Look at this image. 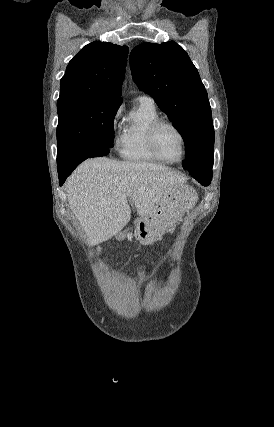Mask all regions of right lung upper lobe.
Returning a JSON list of instances; mask_svg holds the SVG:
<instances>
[{
  "label": "right lung upper lobe",
  "instance_id": "right-lung-upper-lobe-1",
  "mask_svg": "<svg viewBox=\"0 0 274 427\" xmlns=\"http://www.w3.org/2000/svg\"><path fill=\"white\" fill-rule=\"evenodd\" d=\"M128 47L95 41L68 64L57 107L84 100H122Z\"/></svg>",
  "mask_w": 274,
  "mask_h": 427
}]
</instances>
